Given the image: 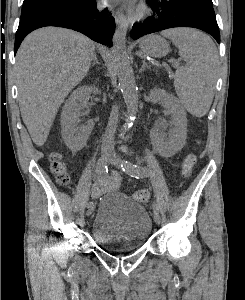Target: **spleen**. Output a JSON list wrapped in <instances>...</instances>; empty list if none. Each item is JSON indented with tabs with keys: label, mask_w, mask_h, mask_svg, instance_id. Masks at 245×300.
Listing matches in <instances>:
<instances>
[{
	"label": "spleen",
	"mask_w": 245,
	"mask_h": 300,
	"mask_svg": "<svg viewBox=\"0 0 245 300\" xmlns=\"http://www.w3.org/2000/svg\"><path fill=\"white\" fill-rule=\"evenodd\" d=\"M179 49L187 66L176 70L174 86L183 106L196 117L204 116L213 100L218 52L205 34L186 28L162 31Z\"/></svg>",
	"instance_id": "spleen-1"
}]
</instances>
